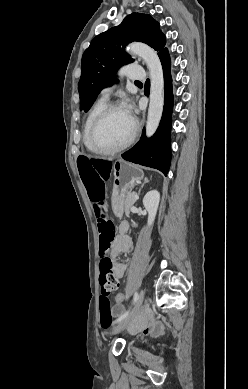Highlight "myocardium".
Segmentation results:
<instances>
[{
	"instance_id": "1",
	"label": "myocardium",
	"mask_w": 248,
	"mask_h": 389,
	"mask_svg": "<svg viewBox=\"0 0 248 389\" xmlns=\"http://www.w3.org/2000/svg\"><path fill=\"white\" fill-rule=\"evenodd\" d=\"M117 109L125 110L124 106L120 103H117V102H112V103L106 104L103 107V109L98 113V115L96 116V118L94 119V121L91 125L89 140H90V143H91L93 149L98 153H101V154L118 153V152L128 148L137 138V135L139 132V126H138L137 121L133 117H131L133 120V125H134L133 132H132L131 136L124 143H122L118 146H115V147H110V148L103 147L100 144H98L97 139H96V134H97L98 128L100 127L102 122L105 120V118L109 115V113H111L112 111L117 110Z\"/></svg>"
}]
</instances>
